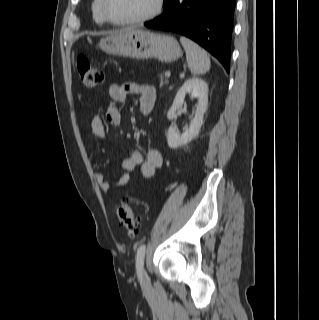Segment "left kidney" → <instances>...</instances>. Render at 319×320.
Returning <instances> with one entry per match:
<instances>
[{"label": "left kidney", "instance_id": "5707ae66", "mask_svg": "<svg viewBox=\"0 0 319 320\" xmlns=\"http://www.w3.org/2000/svg\"><path fill=\"white\" fill-rule=\"evenodd\" d=\"M187 94L198 99V104L194 112V118L191 120L189 128L185 129L182 134L173 126H170L167 132V142L170 148L176 149L189 143L194 139L203 124L204 113L208 105V85L200 78H190L184 82L178 90L172 106L167 112L169 120L176 119V111L182 107Z\"/></svg>", "mask_w": 319, "mask_h": 320}]
</instances>
